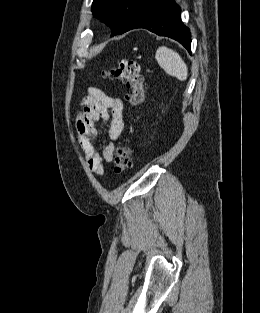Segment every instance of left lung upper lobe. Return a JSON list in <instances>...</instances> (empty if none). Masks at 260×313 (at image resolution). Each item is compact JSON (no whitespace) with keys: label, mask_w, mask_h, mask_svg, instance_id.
<instances>
[{"label":"left lung upper lobe","mask_w":260,"mask_h":313,"mask_svg":"<svg viewBox=\"0 0 260 313\" xmlns=\"http://www.w3.org/2000/svg\"><path fill=\"white\" fill-rule=\"evenodd\" d=\"M153 0H94L93 15L113 29L112 35L122 34L133 20Z\"/></svg>","instance_id":"1"}]
</instances>
